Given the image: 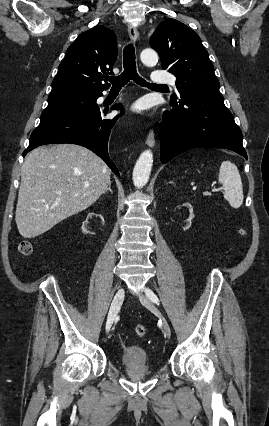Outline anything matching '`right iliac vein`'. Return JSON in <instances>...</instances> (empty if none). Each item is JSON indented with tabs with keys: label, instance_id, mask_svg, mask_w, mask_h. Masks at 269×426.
I'll return each mask as SVG.
<instances>
[{
	"label": "right iliac vein",
	"instance_id": "1",
	"mask_svg": "<svg viewBox=\"0 0 269 426\" xmlns=\"http://www.w3.org/2000/svg\"><path fill=\"white\" fill-rule=\"evenodd\" d=\"M123 299H124V289L120 288L116 292V294L113 298V301L111 303L110 309H109L107 322H106V331L107 332H109V330H110V328H111V326L114 322V319H115V317H116V315H117V313H118V311H119V309L122 305Z\"/></svg>",
	"mask_w": 269,
	"mask_h": 426
}]
</instances>
